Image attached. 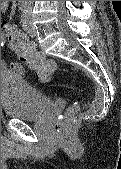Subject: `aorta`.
<instances>
[{"label": "aorta", "mask_w": 121, "mask_h": 169, "mask_svg": "<svg viewBox=\"0 0 121 169\" xmlns=\"http://www.w3.org/2000/svg\"><path fill=\"white\" fill-rule=\"evenodd\" d=\"M23 5H31L33 1H19Z\"/></svg>", "instance_id": "762f6f07"}]
</instances>
